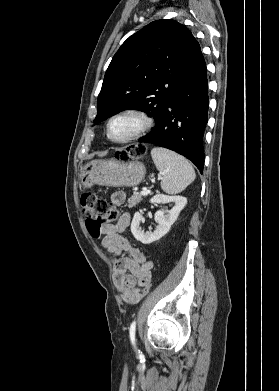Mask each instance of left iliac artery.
I'll return each mask as SVG.
<instances>
[{"mask_svg":"<svg viewBox=\"0 0 279 391\" xmlns=\"http://www.w3.org/2000/svg\"><path fill=\"white\" fill-rule=\"evenodd\" d=\"M135 331H136V322L133 321L131 326H130V330H129V333H130V340H131V343L135 346Z\"/></svg>","mask_w":279,"mask_h":391,"instance_id":"44dca946","label":"left iliac artery"}]
</instances>
